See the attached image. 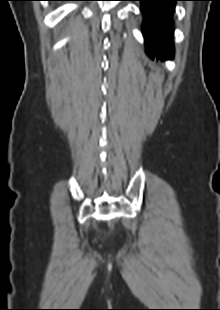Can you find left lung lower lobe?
<instances>
[{"label": "left lung lower lobe", "mask_w": 220, "mask_h": 310, "mask_svg": "<svg viewBox=\"0 0 220 310\" xmlns=\"http://www.w3.org/2000/svg\"><path fill=\"white\" fill-rule=\"evenodd\" d=\"M141 2L144 17L142 31L147 54L161 59L174 57L172 15L181 0H136ZM151 50V51H150Z\"/></svg>", "instance_id": "0a47b994"}]
</instances>
